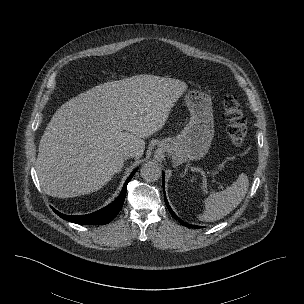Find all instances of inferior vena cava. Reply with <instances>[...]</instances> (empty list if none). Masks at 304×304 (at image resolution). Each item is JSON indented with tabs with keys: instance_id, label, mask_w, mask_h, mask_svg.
Wrapping results in <instances>:
<instances>
[{
	"instance_id": "inferior-vena-cava-1",
	"label": "inferior vena cava",
	"mask_w": 304,
	"mask_h": 304,
	"mask_svg": "<svg viewBox=\"0 0 304 304\" xmlns=\"http://www.w3.org/2000/svg\"><path fill=\"white\" fill-rule=\"evenodd\" d=\"M137 155V152L134 149H128L127 151H125L124 153V158H130V157H135Z\"/></svg>"
}]
</instances>
